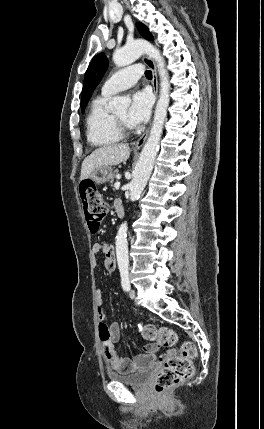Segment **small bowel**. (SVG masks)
Returning a JSON list of instances; mask_svg holds the SVG:
<instances>
[{"label":"small bowel","mask_w":264,"mask_h":429,"mask_svg":"<svg viewBox=\"0 0 264 429\" xmlns=\"http://www.w3.org/2000/svg\"><path fill=\"white\" fill-rule=\"evenodd\" d=\"M120 201H116V206ZM92 253L96 256L99 253H103L105 256L104 265L109 273H112L115 269L114 261V248L109 243H95L92 246ZM99 303V336L103 343L104 354L111 366V368L119 373H131L138 369L148 368L155 360V353L157 351V345L151 343L143 347V353L135 356L133 359L120 357L113 343L118 341L120 338V326L117 322H107V314L102 306L101 293L98 294ZM171 354L168 353L167 356Z\"/></svg>","instance_id":"obj_1"}]
</instances>
